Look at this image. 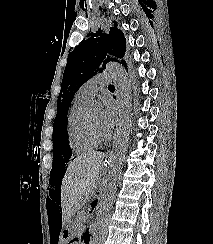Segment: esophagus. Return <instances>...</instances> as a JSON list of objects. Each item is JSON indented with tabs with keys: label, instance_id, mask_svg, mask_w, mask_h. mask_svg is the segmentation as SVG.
<instances>
[{
	"label": "esophagus",
	"instance_id": "esophagus-1",
	"mask_svg": "<svg viewBox=\"0 0 213 244\" xmlns=\"http://www.w3.org/2000/svg\"><path fill=\"white\" fill-rule=\"evenodd\" d=\"M110 151V149L107 151V153H106V156H108V152Z\"/></svg>",
	"mask_w": 213,
	"mask_h": 244
}]
</instances>
